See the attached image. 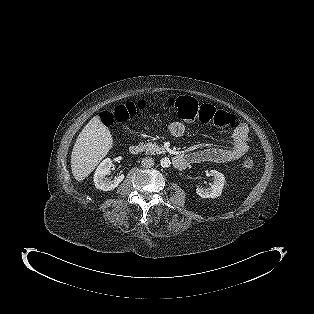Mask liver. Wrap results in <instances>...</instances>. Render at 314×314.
<instances>
[{
    "label": "liver",
    "instance_id": "obj_1",
    "mask_svg": "<svg viewBox=\"0 0 314 314\" xmlns=\"http://www.w3.org/2000/svg\"><path fill=\"white\" fill-rule=\"evenodd\" d=\"M113 147V137L99 116L80 132L71 154V170L77 181L84 180Z\"/></svg>",
    "mask_w": 314,
    "mask_h": 314
}]
</instances>
